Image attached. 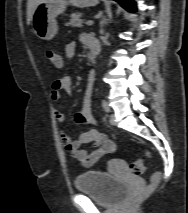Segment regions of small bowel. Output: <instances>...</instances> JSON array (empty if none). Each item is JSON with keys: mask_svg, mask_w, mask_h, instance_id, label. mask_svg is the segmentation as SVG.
I'll return each instance as SVG.
<instances>
[{"mask_svg": "<svg viewBox=\"0 0 188 213\" xmlns=\"http://www.w3.org/2000/svg\"><path fill=\"white\" fill-rule=\"evenodd\" d=\"M89 35L82 36V42L88 46ZM76 52V44L70 42L65 46V55L67 58L74 56ZM56 67L63 65V59L59 55V62L50 60ZM91 75L94 72H90L89 81L91 82ZM72 92V79L69 76L61 77L55 80L51 86L50 98L52 101H59L61 98V92ZM55 119L63 124L65 120V114L62 109L54 110ZM76 124H88L96 125L97 121L92 114L91 110V95L86 93L83 100V109L81 112L76 113L73 117ZM61 142L66 151L72 158L81 162L84 166H92L96 164L104 155L111 154L115 151V142L109 139L106 134L97 130L91 129L81 133L76 139H71L65 131L61 132ZM84 145H90V149L83 148Z\"/></svg>", "mask_w": 188, "mask_h": 213, "instance_id": "obj_1", "label": "small bowel"}]
</instances>
